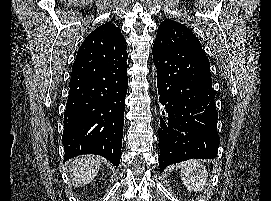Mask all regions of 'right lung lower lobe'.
<instances>
[{"mask_svg":"<svg viewBox=\"0 0 271 201\" xmlns=\"http://www.w3.org/2000/svg\"><path fill=\"white\" fill-rule=\"evenodd\" d=\"M126 60V42L113 37H89L80 46L64 114V161L95 154L119 165L128 87Z\"/></svg>","mask_w":271,"mask_h":201,"instance_id":"obj_1","label":"right lung lower lobe"}]
</instances>
